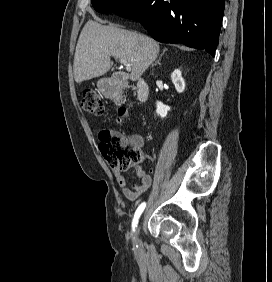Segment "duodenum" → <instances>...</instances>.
Instances as JSON below:
<instances>
[{
    "mask_svg": "<svg viewBox=\"0 0 272 282\" xmlns=\"http://www.w3.org/2000/svg\"><path fill=\"white\" fill-rule=\"evenodd\" d=\"M125 79V75L118 74L111 78L105 85L104 90L106 92V97L110 100L120 101L122 99V94L124 87L122 81ZM137 99L140 102L147 101L149 97V88L144 80H139L136 87Z\"/></svg>",
    "mask_w": 272,
    "mask_h": 282,
    "instance_id": "410a0bca",
    "label": "duodenum"
}]
</instances>
